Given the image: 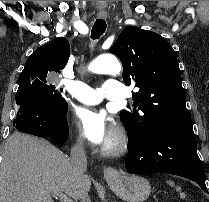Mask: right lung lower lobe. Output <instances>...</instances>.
<instances>
[{
	"mask_svg": "<svg viewBox=\"0 0 209 202\" xmlns=\"http://www.w3.org/2000/svg\"><path fill=\"white\" fill-rule=\"evenodd\" d=\"M20 106L13 125L21 132L39 137H49L54 143L67 141L69 130L66 114H59L37 104L27 90L16 93Z\"/></svg>",
	"mask_w": 209,
	"mask_h": 202,
	"instance_id": "obj_1",
	"label": "right lung lower lobe"
}]
</instances>
